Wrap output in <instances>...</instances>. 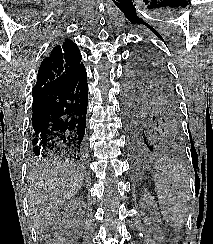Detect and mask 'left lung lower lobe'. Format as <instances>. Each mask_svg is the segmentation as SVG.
<instances>
[{"label": "left lung lower lobe", "mask_w": 213, "mask_h": 244, "mask_svg": "<svg viewBox=\"0 0 213 244\" xmlns=\"http://www.w3.org/2000/svg\"><path fill=\"white\" fill-rule=\"evenodd\" d=\"M127 146L134 157L150 155L162 143L159 132L132 109L123 108Z\"/></svg>", "instance_id": "1"}]
</instances>
